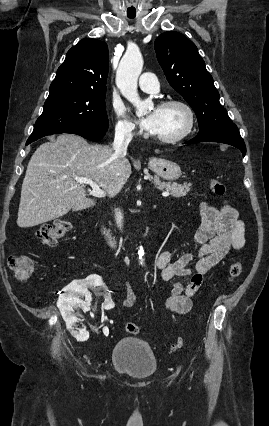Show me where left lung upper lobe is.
<instances>
[{
    "mask_svg": "<svg viewBox=\"0 0 269 426\" xmlns=\"http://www.w3.org/2000/svg\"><path fill=\"white\" fill-rule=\"evenodd\" d=\"M154 47L169 84L196 113L199 132L210 133L233 123L194 43L181 33L168 31L157 37Z\"/></svg>",
    "mask_w": 269,
    "mask_h": 426,
    "instance_id": "5c2ea615",
    "label": "left lung upper lobe"
}]
</instances>
